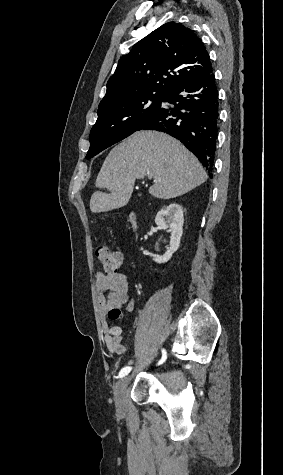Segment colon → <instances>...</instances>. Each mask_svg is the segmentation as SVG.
<instances>
[{"mask_svg": "<svg viewBox=\"0 0 283 475\" xmlns=\"http://www.w3.org/2000/svg\"><path fill=\"white\" fill-rule=\"evenodd\" d=\"M97 258L106 271L113 273L118 272L123 263L122 255L105 245L99 246Z\"/></svg>", "mask_w": 283, "mask_h": 475, "instance_id": "1", "label": "colon"}]
</instances>
